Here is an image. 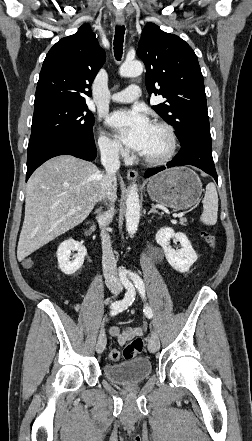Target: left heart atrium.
<instances>
[{
    "mask_svg": "<svg viewBox=\"0 0 252 441\" xmlns=\"http://www.w3.org/2000/svg\"><path fill=\"white\" fill-rule=\"evenodd\" d=\"M107 122L127 147L143 153L153 125L140 109L115 111Z\"/></svg>",
    "mask_w": 252,
    "mask_h": 441,
    "instance_id": "obj_1",
    "label": "left heart atrium"
}]
</instances>
